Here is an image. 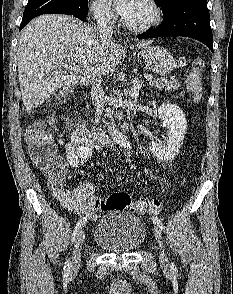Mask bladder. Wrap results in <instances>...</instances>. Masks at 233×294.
<instances>
[{
  "mask_svg": "<svg viewBox=\"0 0 233 294\" xmlns=\"http://www.w3.org/2000/svg\"><path fill=\"white\" fill-rule=\"evenodd\" d=\"M146 238L142 220L133 213L113 209L96 223L93 240L96 245L110 252H133Z\"/></svg>",
  "mask_w": 233,
  "mask_h": 294,
  "instance_id": "1",
  "label": "bladder"
}]
</instances>
